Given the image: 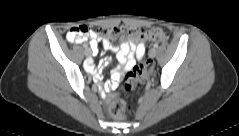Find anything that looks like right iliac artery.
Here are the masks:
<instances>
[{
    "mask_svg": "<svg viewBox=\"0 0 239 136\" xmlns=\"http://www.w3.org/2000/svg\"><path fill=\"white\" fill-rule=\"evenodd\" d=\"M88 48V44H84V49L86 50Z\"/></svg>",
    "mask_w": 239,
    "mask_h": 136,
    "instance_id": "right-iliac-artery-1",
    "label": "right iliac artery"
}]
</instances>
